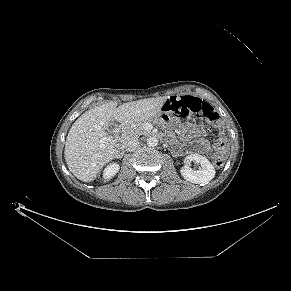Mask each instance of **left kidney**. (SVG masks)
<instances>
[{
  "label": "left kidney",
  "instance_id": "left-kidney-1",
  "mask_svg": "<svg viewBox=\"0 0 291 291\" xmlns=\"http://www.w3.org/2000/svg\"><path fill=\"white\" fill-rule=\"evenodd\" d=\"M190 162H195L200 165L196 170L189 167ZM185 166L180 170L181 175L187 181L195 184H206L215 176L214 166L210 161L199 154H190L185 158Z\"/></svg>",
  "mask_w": 291,
  "mask_h": 291
}]
</instances>
